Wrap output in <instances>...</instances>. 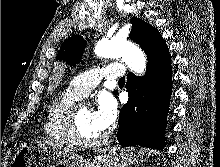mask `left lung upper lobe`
Wrapping results in <instances>:
<instances>
[{
    "mask_svg": "<svg viewBox=\"0 0 220 167\" xmlns=\"http://www.w3.org/2000/svg\"><path fill=\"white\" fill-rule=\"evenodd\" d=\"M132 30L129 38L138 43L148 56H157L164 50H168L165 41L159 31L152 25L138 18L132 17ZM85 49V41L80 35H73L61 45L57 55V60L66 62L75 66L79 63L83 51ZM117 94V92H114Z\"/></svg>",
    "mask_w": 220,
    "mask_h": 167,
    "instance_id": "obj_1",
    "label": "left lung upper lobe"
}]
</instances>
